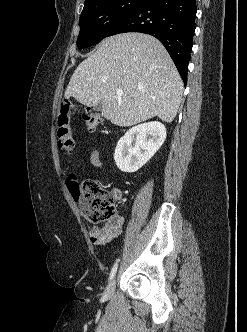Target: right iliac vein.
Returning a JSON list of instances; mask_svg holds the SVG:
<instances>
[{"label":"right iliac vein","instance_id":"1","mask_svg":"<svg viewBox=\"0 0 247 332\" xmlns=\"http://www.w3.org/2000/svg\"><path fill=\"white\" fill-rule=\"evenodd\" d=\"M115 285H116V280L113 279L108 286L106 287L105 294L106 296H111L114 293L115 290Z\"/></svg>","mask_w":247,"mask_h":332}]
</instances>
